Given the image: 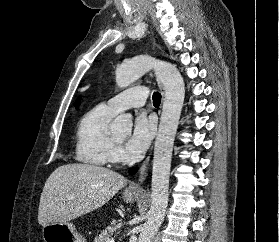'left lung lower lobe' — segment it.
Listing matches in <instances>:
<instances>
[{"mask_svg": "<svg viewBox=\"0 0 279 242\" xmlns=\"http://www.w3.org/2000/svg\"><path fill=\"white\" fill-rule=\"evenodd\" d=\"M136 171H137V168H132V169L129 170V173L133 174V173H135Z\"/></svg>", "mask_w": 279, "mask_h": 242, "instance_id": "0a47b994", "label": "left lung lower lobe"}]
</instances>
